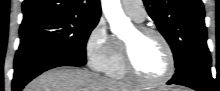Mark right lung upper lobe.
<instances>
[{"mask_svg": "<svg viewBox=\"0 0 220 91\" xmlns=\"http://www.w3.org/2000/svg\"><path fill=\"white\" fill-rule=\"evenodd\" d=\"M22 10V23L57 15L90 18H100L101 15L99 0H24Z\"/></svg>", "mask_w": 220, "mask_h": 91, "instance_id": "obj_1", "label": "right lung upper lobe"}]
</instances>
